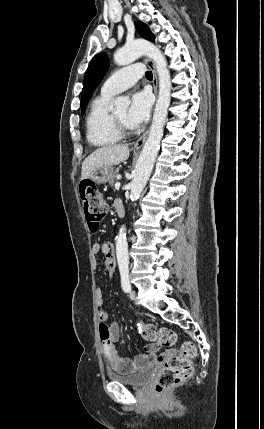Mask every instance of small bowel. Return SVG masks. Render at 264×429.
<instances>
[{"instance_id": "c3829d8e", "label": "small bowel", "mask_w": 264, "mask_h": 429, "mask_svg": "<svg viewBox=\"0 0 264 429\" xmlns=\"http://www.w3.org/2000/svg\"><path fill=\"white\" fill-rule=\"evenodd\" d=\"M122 203L120 200H116L114 207ZM92 253L94 256L102 253L105 255V267L108 273L112 276L115 271V261L113 255L115 254L114 247L111 243H95L92 246ZM98 304H99V333L103 343L104 354L108 360V363L112 370L121 373L128 374L142 368H148L155 360L158 346L155 344H148L144 347V353L137 355L134 358L121 357L117 353L114 342L119 339L120 327L117 322L108 321L107 312L102 307L103 297L101 291L98 292ZM172 352H168L165 356H168Z\"/></svg>"}]
</instances>
